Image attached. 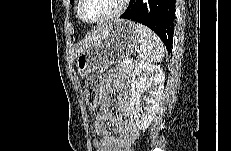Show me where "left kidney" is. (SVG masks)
Returning <instances> with one entry per match:
<instances>
[{
	"label": "left kidney",
	"instance_id": "5707ae66",
	"mask_svg": "<svg viewBox=\"0 0 231 151\" xmlns=\"http://www.w3.org/2000/svg\"><path fill=\"white\" fill-rule=\"evenodd\" d=\"M165 75L160 66L140 62L135 66L131 82L130 107L137 127L145 130L149 127L159 109L162 99ZM146 92L143 106L141 93Z\"/></svg>",
	"mask_w": 231,
	"mask_h": 151
}]
</instances>
